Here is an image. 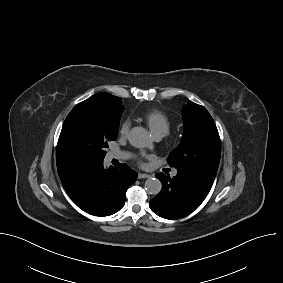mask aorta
Instances as JSON below:
<instances>
[{
	"label": "aorta",
	"mask_w": 283,
	"mask_h": 283,
	"mask_svg": "<svg viewBox=\"0 0 283 283\" xmlns=\"http://www.w3.org/2000/svg\"><path fill=\"white\" fill-rule=\"evenodd\" d=\"M128 140L130 144L136 148H145L152 144L151 135L142 127L132 128ZM161 188L162 184L157 178H148L145 181V190L149 194L156 195L161 191Z\"/></svg>",
	"instance_id": "762f6f07"
}]
</instances>
